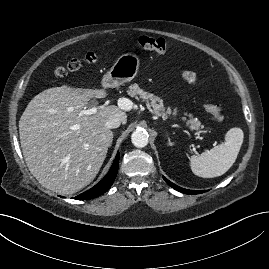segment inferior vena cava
I'll return each instance as SVG.
<instances>
[{
  "instance_id": "obj_1",
  "label": "inferior vena cava",
  "mask_w": 269,
  "mask_h": 269,
  "mask_svg": "<svg viewBox=\"0 0 269 269\" xmlns=\"http://www.w3.org/2000/svg\"><path fill=\"white\" fill-rule=\"evenodd\" d=\"M121 124V119L119 117H111L107 123L106 126L109 129L118 128Z\"/></svg>"
}]
</instances>
